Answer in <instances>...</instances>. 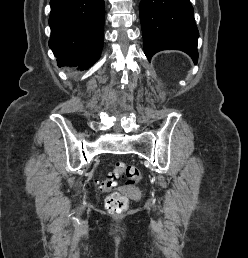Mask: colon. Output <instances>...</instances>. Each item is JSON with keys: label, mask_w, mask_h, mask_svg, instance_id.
<instances>
[{"label": "colon", "mask_w": 248, "mask_h": 258, "mask_svg": "<svg viewBox=\"0 0 248 258\" xmlns=\"http://www.w3.org/2000/svg\"><path fill=\"white\" fill-rule=\"evenodd\" d=\"M119 177L125 180L126 185L133 186L141 181L142 172L137 166L119 161L113 165L111 172L106 177L99 180V186L103 190H112ZM106 207L111 213H123L128 209V200L119 193H112L106 199Z\"/></svg>", "instance_id": "5ec220e1"}]
</instances>
